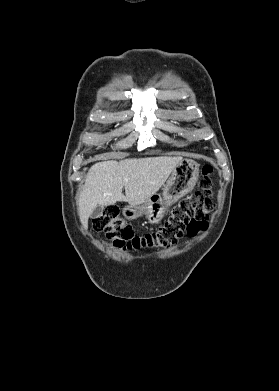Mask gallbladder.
<instances>
[{
	"instance_id": "bac80fb5",
	"label": "gallbladder",
	"mask_w": 279,
	"mask_h": 391,
	"mask_svg": "<svg viewBox=\"0 0 279 391\" xmlns=\"http://www.w3.org/2000/svg\"><path fill=\"white\" fill-rule=\"evenodd\" d=\"M103 211H104V207L98 205V206L93 210V212H92V214H91V218H93V219L99 218V217L102 215Z\"/></svg>"
}]
</instances>
